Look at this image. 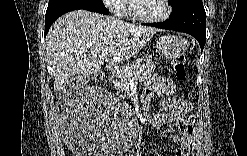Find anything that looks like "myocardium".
<instances>
[{
	"instance_id": "f54148a6",
	"label": "myocardium",
	"mask_w": 247,
	"mask_h": 156,
	"mask_svg": "<svg viewBox=\"0 0 247 156\" xmlns=\"http://www.w3.org/2000/svg\"><path fill=\"white\" fill-rule=\"evenodd\" d=\"M164 6V12L158 16H142L136 11L135 2L130 1L129 3V14L132 19L143 22V23H157L166 20L171 14V6L168 0H161Z\"/></svg>"
}]
</instances>
